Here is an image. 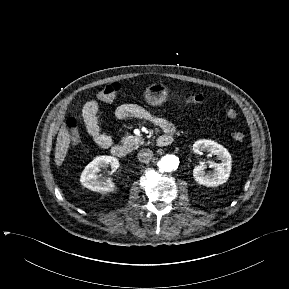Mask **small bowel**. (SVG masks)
Instances as JSON below:
<instances>
[{
    "label": "small bowel",
    "instance_id": "1",
    "mask_svg": "<svg viewBox=\"0 0 289 289\" xmlns=\"http://www.w3.org/2000/svg\"><path fill=\"white\" fill-rule=\"evenodd\" d=\"M87 133L92 137L93 141L101 148L108 149L113 144L110 135L103 132L100 127L99 120V104L95 100L86 102L81 113ZM115 116L118 119L137 118L151 121L162 129L165 136L173 140L176 131L175 126L162 117H156L150 114L145 108L134 103H124L115 109Z\"/></svg>",
    "mask_w": 289,
    "mask_h": 289
}]
</instances>
